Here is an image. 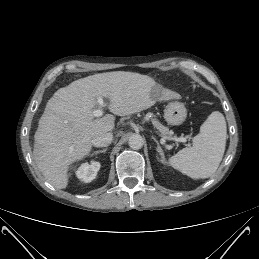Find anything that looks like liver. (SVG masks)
<instances>
[{"label":"liver","instance_id":"1","mask_svg":"<svg viewBox=\"0 0 259 259\" xmlns=\"http://www.w3.org/2000/svg\"><path fill=\"white\" fill-rule=\"evenodd\" d=\"M98 98L109 100L114 115L125 116L180 95L167 89L159 93L151 77L125 71L91 75L57 90L39 120L33 150L39 171L57 189L67 187L69 166L90 153L92 140L115 127L111 114L94 119Z\"/></svg>","mask_w":259,"mask_h":259}]
</instances>
